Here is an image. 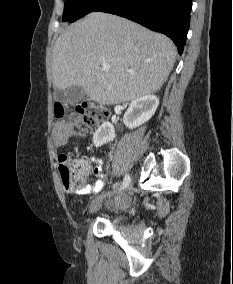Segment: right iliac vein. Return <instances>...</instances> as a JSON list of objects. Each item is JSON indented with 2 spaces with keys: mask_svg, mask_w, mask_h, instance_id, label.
I'll return each instance as SVG.
<instances>
[{
  "mask_svg": "<svg viewBox=\"0 0 233 284\" xmlns=\"http://www.w3.org/2000/svg\"><path fill=\"white\" fill-rule=\"evenodd\" d=\"M133 187L132 183H127L126 187H123L122 193L123 194H128L130 192V188ZM102 206V199L98 198L96 199L92 205H91V211H96Z\"/></svg>",
  "mask_w": 233,
  "mask_h": 284,
  "instance_id": "1",
  "label": "right iliac vein"
}]
</instances>
